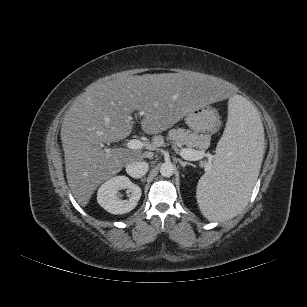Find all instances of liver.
Returning <instances> with one entry per match:
<instances>
[{"instance_id": "liver-1", "label": "liver", "mask_w": 307, "mask_h": 307, "mask_svg": "<svg viewBox=\"0 0 307 307\" xmlns=\"http://www.w3.org/2000/svg\"><path fill=\"white\" fill-rule=\"evenodd\" d=\"M229 96L224 85L193 72L127 76L89 85L67 110L61 128L66 178L77 202L86 206L103 181L144 158L140 149H103V143L129 136L134 111L143 113L145 133L158 134L195 108Z\"/></svg>"}]
</instances>
